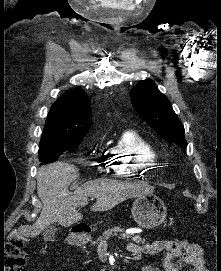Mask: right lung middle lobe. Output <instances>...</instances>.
Wrapping results in <instances>:
<instances>
[{"label":"right lung middle lobe","mask_w":221,"mask_h":271,"mask_svg":"<svg viewBox=\"0 0 221 271\" xmlns=\"http://www.w3.org/2000/svg\"><path fill=\"white\" fill-rule=\"evenodd\" d=\"M83 137L42 136L38 151L40 165L54 162L64 151L76 150Z\"/></svg>","instance_id":"obj_1"}]
</instances>
